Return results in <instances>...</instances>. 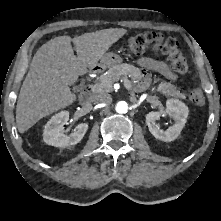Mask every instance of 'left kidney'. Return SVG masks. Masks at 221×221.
<instances>
[{
  "label": "left kidney",
  "instance_id": "5707ae66",
  "mask_svg": "<svg viewBox=\"0 0 221 221\" xmlns=\"http://www.w3.org/2000/svg\"><path fill=\"white\" fill-rule=\"evenodd\" d=\"M188 107L179 100L170 99L166 102V109L160 112H150L146 115V124L150 133L157 139L171 142L175 140L181 133L188 116ZM169 115L175 120V124L167 130L160 129L156 121L161 116Z\"/></svg>",
  "mask_w": 221,
  "mask_h": 221
}]
</instances>
